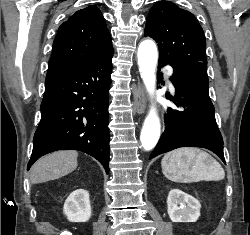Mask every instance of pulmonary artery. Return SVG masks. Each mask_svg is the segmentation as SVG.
I'll return each instance as SVG.
<instances>
[{
	"instance_id": "e3ab8cb5",
	"label": "pulmonary artery",
	"mask_w": 250,
	"mask_h": 235,
	"mask_svg": "<svg viewBox=\"0 0 250 235\" xmlns=\"http://www.w3.org/2000/svg\"><path fill=\"white\" fill-rule=\"evenodd\" d=\"M170 88L174 89V86H173V84L171 82H170Z\"/></svg>"
}]
</instances>
